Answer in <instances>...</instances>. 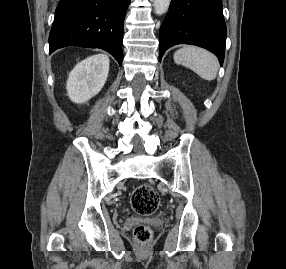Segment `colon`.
I'll return each instance as SVG.
<instances>
[{
    "label": "colon",
    "instance_id": "obj_1",
    "mask_svg": "<svg viewBox=\"0 0 286 269\" xmlns=\"http://www.w3.org/2000/svg\"><path fill=\"white\" fill-rule=\"evenodd\" d=\"M130 203L137 214L146 216L157 210L160 204V198L151 186L142 184L133 190ZM134 237L138 244L145 245L150 241L151 230L148 226L138 225L134 229Z\"/></svg>",
    "mask_w": 286,
    "mask_h": 269
}]
</instances>
